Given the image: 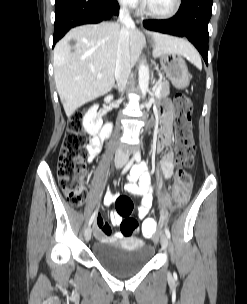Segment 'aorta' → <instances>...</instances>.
Wrapping results in <instances>:
<instances>
[{"label": "aorta", "instance_id": "aorta-1", "mask_svg": "<svg viewBox=\"0 0 247 304\" xmlns=\"http://www.w3.org/2000/svg\"><path fill=\"white\" fill-rule=\"evenodd\" d=\"M139 88L141 90L142 97L145 98L149 86V68L141 62L139 65Z\"/></svg>", "mask_w": 247, "mask_h": 304}]
</instances>
